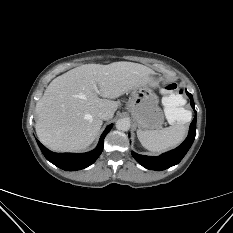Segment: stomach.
<instances>
[{
    "label": "stomach",
    "instance_id": "obj_1",
    "mask_svg": "<svg viewBox=\"0 0 233 233\" xmlns=\"http://www.w3.org/2000/svg\"><path fill=\"white\" fill-rule=\"evenodd\" d=\"M127 110L138 128L142 130L160 128L164 122V114L158 106L157 96L145 82L131 90Z\"/></svg>",
    "mask_w": 233,
    "mask_h": 233
}]
</instances>
